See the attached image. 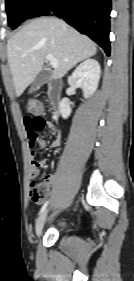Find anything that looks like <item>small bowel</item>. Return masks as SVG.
Segmentation results:
<instances>
[{
	"mask_svg": "<svg viewBox=\"0 0 134 281\" xmlns=\"http://www.w3.org/2000/svg\"><path fill=\"white\" fill-rule=\"evenodd\" d=\"M24 126L27 131L30 153H31V168L30 175L32 178H36L39 175L40 169L44 167L45 162L40 161L36 158V149L35 145L38 144L41 149H45L47 143L38 135L39 131H42L44 128L48 127L52 134L51 147L55 148L59 146L61 141V133L58 127L48 122L44 117L40 115H26L23 118ZM56 179L55 174H48L44 178V184L50 186L54 183Z\"/></svg>",
	"mask_w": 134,
	"mask_h": 281,
	"instance_id": "c3829d8e",
	"label": "small bowel"
}]
</instances>
